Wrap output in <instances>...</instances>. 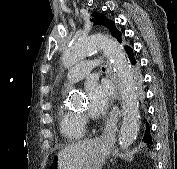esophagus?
Masks as SVG:
<instances>
[{
    "instance_id": "1",
    "label": "esophagus",
    "mask_w": 177,
    "mask_h": 169,
    "mask_svg": "<svg viewBox=\"0 0 177 169\" xmlns=\"http://www.w3.org/2000/svg\"><path fill=\"white\" fill-rule=\"evenodd\" d=\"M108 72L111 74L110 68H108ZM110 77H111V75H110ZM111 79H113V78L111 77ZM117 95H118V92H115L114 97H111V104H112L113 110L111 111L110 118L108 119V121L105 125V128H104V131L101 135L102 139L111 135L113 129L115 128L116 121H117V118H116V113H117L116 108H117V104H118Z\"/></svg>"
}]
</instances>
